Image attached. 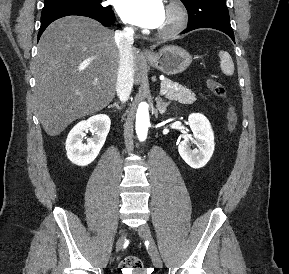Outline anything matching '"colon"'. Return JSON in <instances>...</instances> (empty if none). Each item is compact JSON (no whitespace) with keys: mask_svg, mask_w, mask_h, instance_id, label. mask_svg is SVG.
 I'll return each mask as SVG.
<instances>
[{"mask_svg":"<svg viewBox=\"0 0 289 274\" xmlns=\"http://www.w3.org/2000/svg\"><path fill=\"white\" fill-rule=\"evenodd\" d=\"M206 83H207L208 88L216 97L221 98V99H226L227 91L223 84H221L220 82L212 78L207 79ZM226 119H227V126H228L229 131L233 132L237 126L238 116H237L235 108L231 104H228ZM120 267L123 272L142 271L143 269L141 260L135 256L125 257L121 261Z\"/></svg>","mask_w":289,"mask_h":274,"instance_id":"1","label":"colon"}]
</instances>
